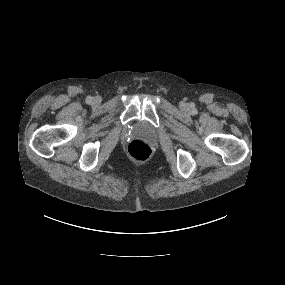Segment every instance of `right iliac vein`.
Returning a JSON list of instances; mask_svg holds the SVG:
<instances>
[{"mask_svg": "<svg viewBox=\"0 0 285 285\" xmlns=\"http://www.w3.org/2000/svg\"><path fill=\"white\" fill-rule=\"evenodd\" d=\"M94 103H95V104H98V103H99V99H98V98H95V99H94Z\"/></svg>", "mask_w": 285, "mask_h": 285, "instance_id": "obj_1", "label": "right iliac vein"}]
</instances>
